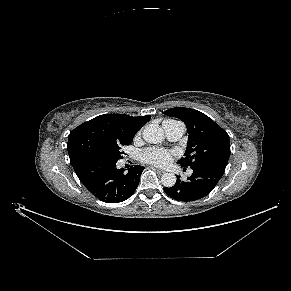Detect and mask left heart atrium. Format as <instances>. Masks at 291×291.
Masks as SVG:
<instances>
[{
  "mask_svg": "<svg viewBox=\"0 0 291 291\" xmlns=\"http://www.w3.org/2000/svg\"><path fill=\"white\" fill-rule=\"evenodd\" d=\"M141 159L149 164L165 166L171 161L172 153L161 148H148L141 153Z\"/></svg>",
  "mask_w": 291,
  "mask_h": 291,
  "instance_id": "left-heart-atrium-1",
  "label": "left heart atrium"
}]
</instances>
